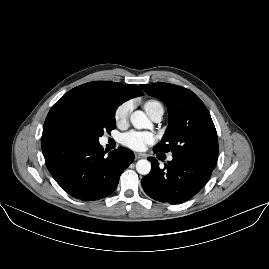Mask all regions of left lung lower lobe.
I'll return each instance as SVG.
<instances>
[{"instance_id": "0a47b994", "label": "left lung lower lobe", "mask_w": 269, "mask_h": 269, "mask_svg": "<svg viewBox=\"0 0 269 269\" xmlns=\"http://www.w3.org/2000/svg\"><path fill=\"white\" fill-rule=\"evenodd\" d=\"M154 151L158 152L155 148ZM148 159L152 170L141 180L142 187L149 197L170 204H179L193 197L204 187L214 169L177 156H173L164 168L159 167L154 157Z\"/></svg>"}]
</instances>
